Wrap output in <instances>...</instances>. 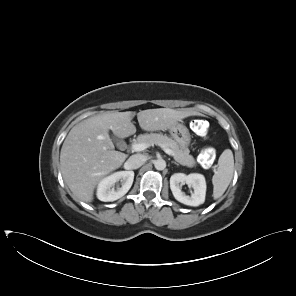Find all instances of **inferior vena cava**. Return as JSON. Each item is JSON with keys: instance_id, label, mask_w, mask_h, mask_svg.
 I'll return each mask as SVG.
<instances>
[{"instance_id": "602c4592", "label": "inferior vena cava", "mask_w": 296, "mask_h": 296, "mask_svg": "<svg viewBox=\"0 0 296 296\" xmlns=\"http://www.w3.org/2000/svg\"><path fill=\"white\" fill-rule=\"evenodd\" d=\"M146 159L141 154H134L126 161L125 166L128 169H137L145 163Z\"/></svg>"}]
</instances>
